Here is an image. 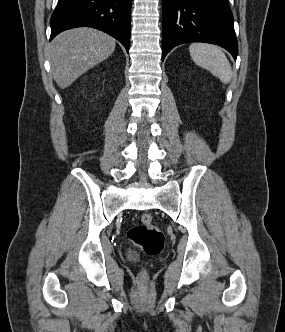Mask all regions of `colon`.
Segmentation results:
<instances>
[{
    "label": "colon",
    "instance_id": "colon-1",
    "mask_svg": "<svg viewBox=\"0 0 285 332\" xmlns=\"http://www.w3.org/2000/svg\"><path fill=\"white\" fill-rule=\"evenodd\" d=\"M128 238L141 250L149 255H155L164 247V235L154 223L151 214H143L141 223L131 227L127 232ZM140 279L144 281L147 277L145 270L140 272Z\"/></svg>",
    "mask_w": 285,
    "mask_h": 332
}]
</instances>
